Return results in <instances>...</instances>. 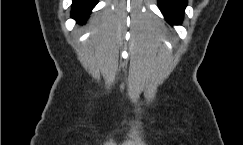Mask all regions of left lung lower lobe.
I'll return each mask as SVG.
<instances>
[{
	"label": "left lung lower lobe",
	"instance_id": "left-lung-lower-lobe-1",
	"mask_svg": "<svg viewBox=\"0 0 243 145\" xmlns=\"http://www.w3.org/2000/svg\"><path fill=\"white\" fill-rule=\"evenodd\" d=\"M187 0H158V6L170 24H180Z\"/></svg>",
	"mask_w": 243,
	"mask_h": 145
}]
</instances>
